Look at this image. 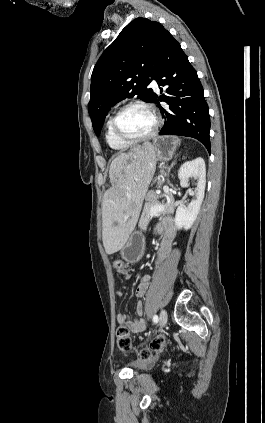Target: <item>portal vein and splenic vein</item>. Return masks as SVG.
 I'll return each mask as SVG.
<instances>
[{
  "mask_svg": "<svg viewBox=\"0 0 265 423\" xmlns=\"http://www.w3.org/2000/svg\"><path fill=\"white\" fill-rule=\"evenodd\" d=\"M163 190H164V192H165V194L167 195V202H169V200H168V194L170 193V189H169V187L168 186H164L163 187ZM166 205H167V203H163L162 205H155V206H152L151 208H150V212L152 213V214H156V213H159V212H161V211H163L164 210V208L166 207Z\"/></svg>",
  "mask_w": 265,
  "mask_h": 423,
  "instance_id": "18ae733b",
  "label": "portal vein and splenic vein"
}]
</instances>
